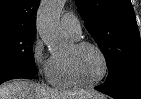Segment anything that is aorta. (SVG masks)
<instances>
[{
  "mask_svg": "<svg viewBox=\"0 0 141 99\" xmlns=\"http://www.w3.org/2000/svg\"><path fill=\"white\" fill-rule=\"evenodd\" d=\"M63 5V0H44L37 13V31L52 54L62 53L68 48V40L59 28Z\"/></svg>",
  "mask_w": 141,
  "mask_h": 99,
  "instance_id": "1",
  "label": "aorta"
}]
</instances>
